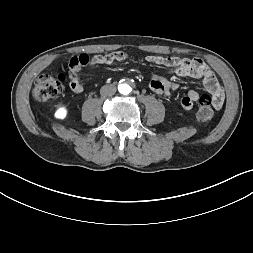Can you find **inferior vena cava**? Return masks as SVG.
Returning <instances> with one entry per match:
<instances>
[{"label": "inferior vena cava", "mask_w": 253, "mask_h": 253, "mask_svg": "<svg viewBox=\"0 0 253 253\" xmlns=\"http://www.w3.org/2000/svg\"><path fill=\"white\" fill-rule=\"evenodd\" d=\"M115 92H116V87L112 84L104 85L100 90V94L102 96H109V97L114 95Z\"/></svg>", "instance_id": "1"}]
</instances>
